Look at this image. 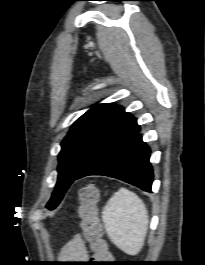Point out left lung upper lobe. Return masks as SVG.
I'll return each instance as SVG.
<instances>
[{"instance_id": "5c2ea615", "label": "left lung upper lobe", "mask_w": 205, "mask_h": 265, "mask_svg": "<svg viewBox=\"0 0 205 265\" xmlns=\"http://www.w3.org/2000/svg\"><path fill=\"white\" fill-rule=\"evenodd\" d=\"M122 106L105 103L89 109L74 122L61 143L58 181L46 207L55 209L84 166L131 121Z\"/></svg>"}]
</instances>
